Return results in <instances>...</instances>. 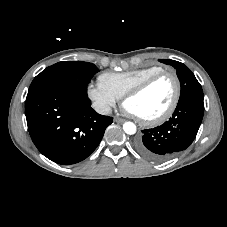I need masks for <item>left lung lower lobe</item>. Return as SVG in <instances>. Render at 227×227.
<instances>
[{
    "instance_id": "obj_1",
    "label": "left lung lower lobe",
    "mask_w": 227,
    "mask_h": 227,
    "mask_svg": "<svg viewBox=\"0 0 227 227\" xmlns=\"http://www.w3.org/2000/svg\"><path fill=\"white\" fill-rule=\"evenodd\" d=\"M204 114L203 96L179 100L172 117L161 126L142 130L135 149L153 161H164L188 148L195 139Z\"/></svg>"
}]
</instances>
